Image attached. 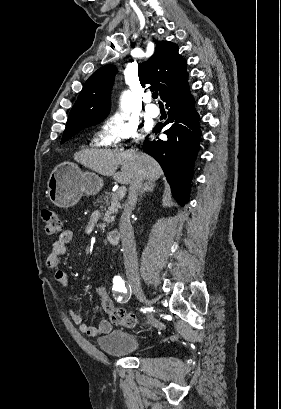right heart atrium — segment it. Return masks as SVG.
I'll return each mask as SVG.
<instances>
[{
  "mask_svg": "<svg viewBox=\"0 0 281 409\" xmlns=\"http://www.w3.org/2000/svg\"><path fill=\"white\" fill-rule=\"evenodd\" d=\"M149 131V126L140 130L132 115L121 114L117 119H106L100 127L97 138L103 145L120 147L130 142L139 143Z\"/></svg>",
  "mask_w": 281,
  "mask_h": 409,
  "instance_id": "obj_1",
  "label": "right heart atrium"
}]
</instances>
